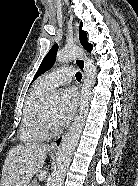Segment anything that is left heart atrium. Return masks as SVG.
<instances>
[{
  "label": "left heart atrium",
  "mask_w": 138,
  "mask_h": 186,
  "mask_svg": "<svg viewBox=\"0 0 138 186\" xmlns=\"http://www.w3.org/2000/svg\"><path fill=\"white\" fill-rule=\"evenodd\" d=\"M78 97L73 89H66L61 96V102L55 113V119L59 127L65 126L75 113Z\"/></svg>",
  "instance_id": "left-heart-atrium-1"
}]
</instances>
